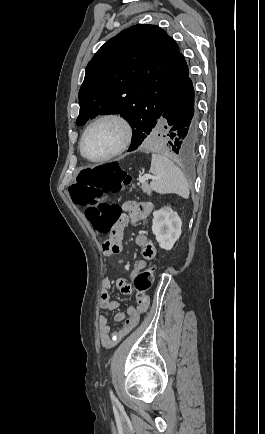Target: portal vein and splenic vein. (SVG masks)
<instances>
[{
    "mask_svg": "<svg viewBox=\"0 0 265 434\" xmlns=\"http://www.w3.org/2000/svg\"><path fill=\"white\" fill-rule=\"evenodd\" d=\"M146 180H155V176H150V174H145V176H142V178H140L139 182H141V184H144Z\"/></svg>",
    "mask_w": 265,
    "mask_h": 434,
    "instance_id": "obj_1",
    "label": "portal vein and splenic vein"
}]
</instances>
